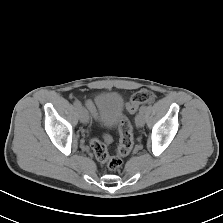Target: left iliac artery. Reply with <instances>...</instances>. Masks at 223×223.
Here are the masks:
<instances>
[{
	"label": "left iliac artery",
	"mask_w": 223,
	"mask_h": 223,
	"mask_svg": "<svg viewBox=\"0 0 223 223\" xmlns=\"http://www.w3.org/2000/svg\"><path fill=\"white\" fill-rule=\"evenodd\" d=\"M145 110H146V106L143 105L140 107L139 112L144 113Z\"/></svg>",
	"instance_id": "obj_1"
}]
</instances>
